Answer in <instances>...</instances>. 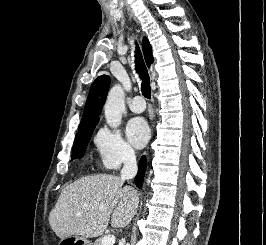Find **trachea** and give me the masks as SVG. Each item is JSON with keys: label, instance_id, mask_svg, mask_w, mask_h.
Instances as JSON below:
<instances>
[{"label": "trachea", "instance_id": "1", "mask_svg": "<svg viewBox=\"0 0 266 245\" xmlns=\"http://www.w3.org/2000/svg\"><path fill=\"white\" fill-rule=\"evenodd\" d=\"M135 61H136V70L139 73L140 78L142 79V86L141 91L144 97L150 98L151 97V88H150V77L148 75V70L142 58V53L140 48L136 47L135 50Z\"/></svg>", "mask_w": 266, "mask_h": 245}]
</instances>
